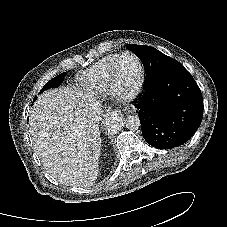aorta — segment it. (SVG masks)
Instances as JSON below:
<instances>
[{
	"label": "aorta",
	"instance_id": "762f6f07",
	"mask_svg": "<svg viewBox=\"0 0 227 227\" xmlns=\"http://www.w3.org/2000/svg\"><path fill=\"white\" fill-rule=\"evenodd\" d=\"M106 126L110 131H118L123 125L128 130H138L141 126L140 120L137 115H130L123 120L122 115L119 112H111L106 118Z\"/></svg>",
	"mask_w": 227,
	"mask_h": 227
}]
</instances>
